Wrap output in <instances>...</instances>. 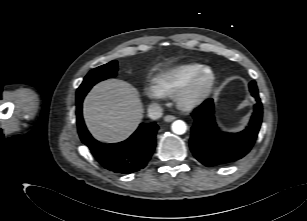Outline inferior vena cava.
<instances>
[{
  "label": "inferior vena cava",
  "mask_w": 307,
  "mask_h": 221,
  "mask_svg": "<svg viewBox=\"0 0 307 221\" xmlns=\"http://www.w3.org/2000/svg\"><path fill=\"white\" fill-rule=\"evenodd\" d=\"M162 112V107L158 104H151L148 107V116L153 120L159 119L162 116Z\"/></svg>",
  "instance_id": "1"
}]
</instances>
